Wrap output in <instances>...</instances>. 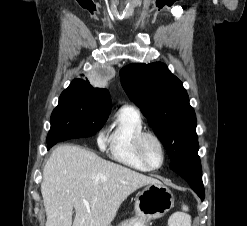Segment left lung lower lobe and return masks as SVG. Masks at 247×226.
Wrapping results in <instances>:
<instances>
[{
	"mask_svg": "<svg viewBox=\"0 0 247 226\" xmlns=\"http://www.w3.org/2000/svg\"><path fill=\"white\" fill-rule=\"evenodd\" d=\"M170 168L189 183L191 188L197 193L201 200L204 199L202 170L198 155L195 158L186 161L172 162L170 164Z\"/></svg>",
	"mask_w": 247,
	"mask_h": 226,
	"instance_id": "1",
	"label": "left lung lower lobe"
}]
</instances>
